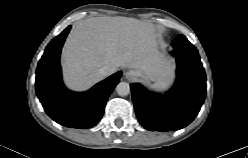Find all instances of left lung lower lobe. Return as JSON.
Returning a JSON list of instances; mask_svg holds the SVG:
<instances>
[{
  "instance_id": "left-lung-lower-lobe-1",
  "label": "left lung lower lobe",
  "mask_w": 248,
  "mask_h": 158,
  "mask_svg": "<svg viewBox=\"0 0 248 158\" xmlns=\"http://www.w3.org/2000/svg\"><path fill=\"white\" fill-rule=\"evenodd\" d=\"M177 62L174 87L164 95L132 83V98L140 124L151 131L179 130L190 124L202 106L206 76L197 49L189 42L172 43Z\"/></svg>"
}]
</instances>
